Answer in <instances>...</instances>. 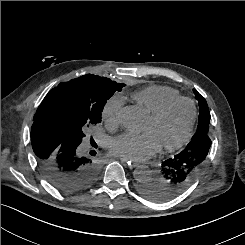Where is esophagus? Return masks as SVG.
<instances>
[{"instance_id": "34e87169", "label": "esophagus", "mask_w": 245, "mask_h": 245, "mask_svg": "<svg viewBox=\"0 0 245 245\" xmlns=\"http://www.w3.org/2000/svg\"><path fill=\"white\" fill-rule=\"evenodd\" d=\"M120 160H121V162L124 163L125 166L128 167L129 169H133V168H135V167L138 166L137 163H135L134 161L129 160V159H126V158L121 157Z\"/></svg>"}]
</instances>
